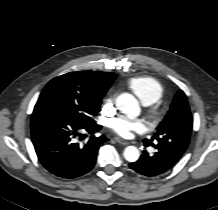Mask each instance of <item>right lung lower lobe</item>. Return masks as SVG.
Segmentation results:
<instances>
[{"label": "right lung lower lobe", "instance_id": "1", "mask_svg": "<svg viewBox=\"0 0 218 210\" xmlns=\"http://www.w3.org/2000/svg\"><path fill=\"white\" fill-rule=\"evenodd\" d=\"M101 129L96 122L85 124L54 112L33 113L31 138L40 163L50 173L67 179L88 173L95 165L97 151L106 137L91 136L85 143L76 138L82 132Z\"/></svg>", "mask_w": 218, "mask_h": 210}]
</instances>
